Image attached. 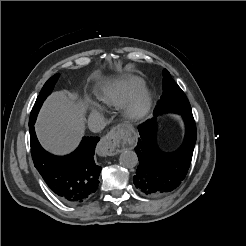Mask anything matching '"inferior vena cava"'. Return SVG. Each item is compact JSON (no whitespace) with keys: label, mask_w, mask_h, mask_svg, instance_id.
Returning a JSON list of instances; mask_svg holds the SVG:
<instances>
[{"label":"inferior vena cava","mask_w":246,"mask_h":246,"mask_svg":"<svg viewBox=\"0 0 246 246\" xmlns=\"http://www.w3.org/2000/svg\"><path fill=\"white\" fill-rule=\"evenodd\" d=\"M105 125V119L101 115H90L88 118V127L94 133L102 131Z\"/></svg>","instance_id":"602c4592"}]
</instances>
